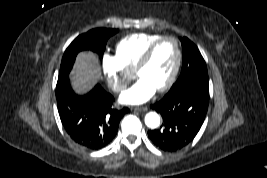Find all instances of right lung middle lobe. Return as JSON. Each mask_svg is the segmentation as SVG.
Segmentation results:
<instances>
[{
  "label": "right lung middle lobe",
  "mask_w": 267,
  "mask_h": 178,
  "mask_svg": "<svg viewBox=\"0 0 267 178\" xmlns=\"http://www.w3.org/2000/svg\"><path fill=\"white\" fill-rule=\"evenodd\" d=\"M117 32L116 29L97 28L78 36L63 55L59 77L69 74L80 51L90 50L102 58L108 38Z\"/></svg>",
  "instance_id": "obj_1"
}]
</instances>
